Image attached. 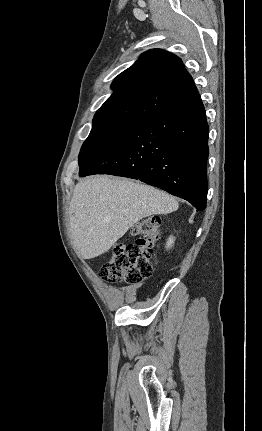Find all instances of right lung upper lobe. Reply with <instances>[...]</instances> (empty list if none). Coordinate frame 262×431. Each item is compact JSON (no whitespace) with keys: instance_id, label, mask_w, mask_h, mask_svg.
I'll return each mask as SVG.
<instances>
[{"instance_id":"right-lung-upper-lobe-1","label":"right lung upper lobe","mask_w":262,"mask_h":431,"mask_svg":"<svg viewBox=\"0 0 262 431\" xmlns=\"http://www.w3.org/2000/svg\"><path fill=\"white\" fill-rule=\"evenodd\" d=\"M111 88L114 93L96 112L93 125L137 124L198 94L181 59L160 49L143 53Z\"/></svg>"}]
</instances>
